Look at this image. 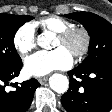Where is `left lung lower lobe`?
<instances>
[{"label": "left lung lower lobe", "mask_w": 112, "mask_h": 112, "mask_svg": "<svg viewBox=\"0 0 112 112\" xmlns=\"http://www.w3.org/2000/svg\"><path fill=\"white\" fill-rule=\"evenodd\" d=\"M68 75L69 90L61 97L67 112H109L112 109V60L87 69L76 67Z\"/></svg>", "instance_id": "left-lung-lower-lobe-1"}]
</instances>
